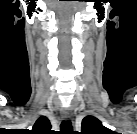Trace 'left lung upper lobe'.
Listing matches in <instances>:
<instances>
[{"mask_svg": "<svg viewBox=\"0 0 137 134\" xmlns=\"http://www.w3.org/2000/svg\"><path fill=\"white\" fill-rule=\"evenodd\" d=\"M115 132L103 126L102 122L94 116H86L82 120L81 134H114Z\"/></svg>", "mask_w": 137, "mask_h": 134, "instance_id": "obj_1", "label": "left lung upper lobe"}]
</instances>
